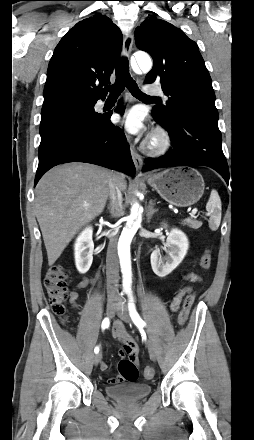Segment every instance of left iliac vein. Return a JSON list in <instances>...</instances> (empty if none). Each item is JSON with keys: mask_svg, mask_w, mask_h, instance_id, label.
I'll return each mask as SVG.
<instances>
[{"mask_svg": "<svg viewBox=\"0 0 254 440\" xmlns=\"http://www.w3.org/2000/svg\"><path fill=\"white\" fill-rule=\"evenodd\" d=\"M117 314H118L119 318L121 320H123L124 322H126V323L131 322L130 316L125 309L117 310ZM148 351H149L151 359L156 360L157 359V348L152 342L148 343Z\"/></svg>", "mask_w": 254, "mask_h": 440, "instance_id": "left-iliac-vein-1", "label": "left iliac vein"}]
</instances>
